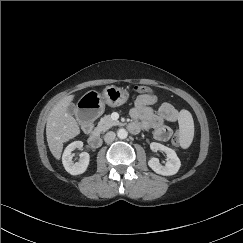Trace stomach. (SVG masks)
<instances>
[{
	"mask_svg": "<svg viewBox=\"0 0 243 243\" xmlns=\"http://www.w3.org/2000/svg\"><path fill=\"white\" fill-rule=\"evenodd\" d=\"M129 97V93L123 88L114 85L107 86L103 94L97 91H89L79 100L81 108H90L95 112V116H99L104 112L105 105L110 107H118L123 105Z\"/></svg>",
	"mask_w": 243,
	"mask_h": 243,
	"instance_id": "stomach-1",
	"label": "stomach"
}]
</instances>
